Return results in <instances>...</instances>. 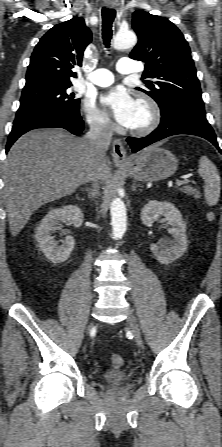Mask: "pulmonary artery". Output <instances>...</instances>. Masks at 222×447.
<instances>
[{
  "label": "pulmonary artery",
  "instance_id": "e3ab8cb5",
  "mask_svg": "<svg viewBox=\"0 0 222 447\" xmlns=\"http://www.w3.org/2000/svg\"><path fill=\"white\" fill-rule=\"evenodd\" d=\"M117 71L122 75H132L141 70L132 59L125 58L118 62ZM88 80L93 85L106 87L114 82V75L109 70L100 68L90 73Z\"/></svg>",
  "mask_w": 222,
  "mask_h": 447
}]
</instances>
